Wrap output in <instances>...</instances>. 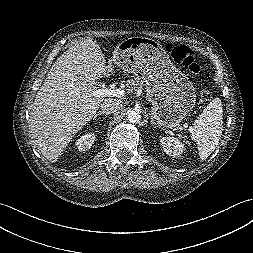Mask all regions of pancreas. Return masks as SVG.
<instances>
[{
    "label": "pancreas",
    "instance_id": "1",
    "mask_svg": "<svg viewBox=\"0 0 253 253\" xmlns=\"http://www.w3.org/2000/svg\"><path fill=\"white\" fill-rule=\"evenodd\" d=\"M127 87L129 91H136L143 87V82L138 79H131L127 82Z\"/></svg>",
    "mask_w": 253,
    "mask_h": 253
}]
</instances>
